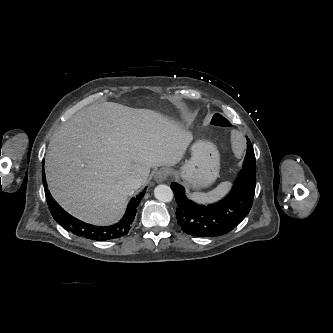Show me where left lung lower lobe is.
<instances>
[{"instance_id": "1", "label": "left lung lower lobe", "mask_w": 333, "mask_h": 333, "mask_svg": "<svg viewBox=\"0 0 333 333\" xmlns=\"http://www.w3.org/2000/svg\"><path fill=\"white\" fill-rule=\"evenodd\" d=\"M256 186V159L247 138L243 167L228 196L217 204L197 205L185 196L182 185L173 182L171 189L177 202L176 218L181 229L197 237L224 235L235 228L249 213Z\"/></svg>"}]
</instances>
